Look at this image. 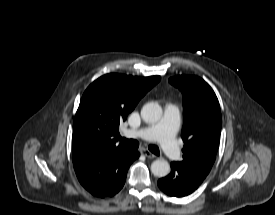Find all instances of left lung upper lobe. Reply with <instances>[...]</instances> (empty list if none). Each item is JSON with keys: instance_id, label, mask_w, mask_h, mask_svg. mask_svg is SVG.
Masks as SVG:
<instances>
[{"instance_id": "obj_1", "label": "left lung upper lobe", "mask_w": 275, "mask_h": 215, "mask_svg": "<svg viewBox=\"0 0 275 215\" xmlns=\"http://www.w3.org/2000/svg\"><path fill=\"white\" fill-rule=\"evenodd\" d=\"M183 95V160L185 168L207 176L215 161L222 126L221 110L212 88L197 76L169 79Z\"/></svg>"}]
</instances>
